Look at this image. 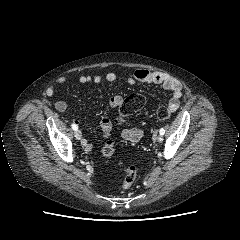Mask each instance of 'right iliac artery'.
I'll list each match as a JSON object with an SVG mask.
<instances>
[{"instance_id": "1", "label": "right iliac artery", "mask_w": 240, "mask_h": 240, "mask_svg": "<svg viewBox=\"0 0 240 240\" xmlns=\"http://www.w3.org/2000/svg\"><path fill=\"white\" fill-rule=\"evenodd\" d=\"M71 127H72V129L75 130V131L78 130V126H77L76 124H72Z\"/></svg>"}]
</instances>
